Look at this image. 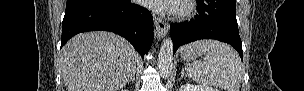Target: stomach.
Returning a JSON list of instances; mask_svg holds the SVG:
<instances>
[{
	"instance_id": "1",
	"label": "stomach",
	"mask_w": 304,
	"mask_h": 91,
	"mask_svg": "<svg viewBox=\"0 0 304 91\" xmlns=\"http://www.w3.org/2000/svg\"><path fill=\"white\" fill-rule=\"evenodd\" d=\"M180 52L182 58L187 62L196 60L200 55V51L194 46V44L184 46Z\"/></svg>"
}]
</instances>
